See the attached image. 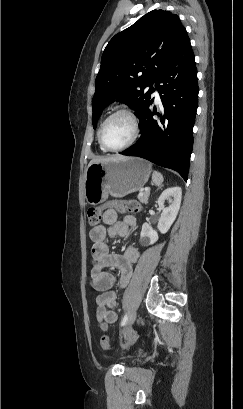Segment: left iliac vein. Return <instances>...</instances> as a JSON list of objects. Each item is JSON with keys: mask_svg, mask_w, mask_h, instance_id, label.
I'll return each mask as SVG.
<instances>
[{"mask_svg": "<svg viewBox=\"0 0 243 409\" xmlns=\"http://www.w3.org/2000/svg\"><path fill=\"white\" fill-rule=\"evenodd\" d=\"M135 319H136V310H133V311L131 312V314H130V317H129V319H128L127 325H126V327H125L124 330H123V334H126L127 332H129V330H130V328H131V325L134 323Z\"/></svg>", "mask_w": 243, "mask_h": 409, "instance_id": "obj_1", "label": "left iliac vein"}]
</instances>
